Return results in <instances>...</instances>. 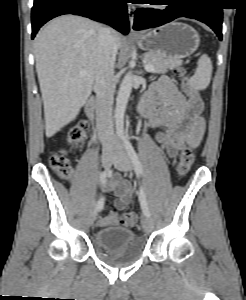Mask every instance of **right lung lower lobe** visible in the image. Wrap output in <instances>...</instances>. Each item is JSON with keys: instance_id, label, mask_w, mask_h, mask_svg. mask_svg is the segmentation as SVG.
Listing matches in <instances>:
<instances>
[{"instance_id": "right-lung-lower-lobe-1", "label": "right lung lower lobe", "mask_w": 246, "mask_h": 300, "mask_svg": "<svg viewBox=\"0 0 246 300\" xmlns=\"http://www.w3.org/2000/svg\"><path fill=\"white\" fill-rule=\"evenodd\" d=\"M63 14L81 15L106 23L123 34L129 32L126 0H34L31 38L47 21Z\"/></svg>"}]
</instances>
